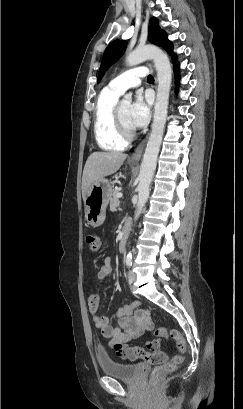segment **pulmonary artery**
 Listing matches in <instances>:
<instances>
[{
	"instance_id": "e3ab8cb5",
	"label": "pulmonary artery",
	"mask_w": 243,
	"mask_h": 409,
	"mask_svg": "<svg viewBox=\"0 0 243 409\" xmlns=\"http://www.w3.org/2000/svg\"><path fill=\"white\" fill-rule=\"evenodd\" d=\"M147 71L144 67H135L127 70L109 81L108 87L122 94L127 89L140 84L141 78L145 77Z\"/></svg>"
}]
</instances>
